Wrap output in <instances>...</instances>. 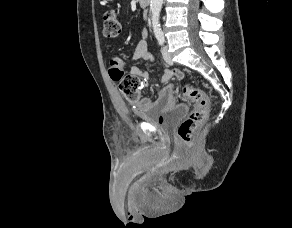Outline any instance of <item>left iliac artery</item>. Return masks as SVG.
Listing matches in <instances>:
<instances>
[{
	"label": "left iliac artery",
	"instance_id": "obj_1",
	"mask_svg": "<svg viewBox=\"0 0 292 228\" xmlns=\"http://www.w3.org/2000/svg\"><path fill=\"white\" fill-rule=\"evenodd\" d=\"M156 38L159 42L160 45H163L164 44V35L163 33L159 32L156 34Z\"/></svg>",
	"mask_w": 292,
	"mask_h": 228
}]
</instances>
